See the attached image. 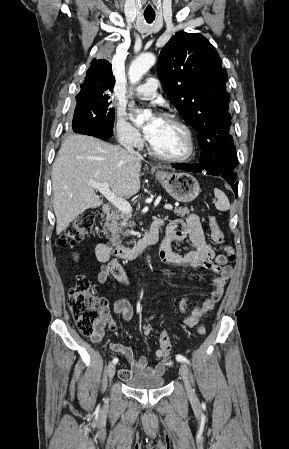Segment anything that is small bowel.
<instances>
[{
    "mask_svg": "<svg viewBox=\"0 0 289 449\" xmlns=\"http://www.w3.org/2000/svg\"><path fill=\"white\" fill-rule=\"evenodd\" d=\"M154 223L160 225L161 220H156ZM186 236H188L190 243L195 249L185 255H181L174 250L173 244ZM95 253L98 261L102 263L97 274V282L99 284H105L110 277H113L123 285H129V280L123 267L102 244L97 245ZM160 258L165 263L175 267L205 268L218 274L212 280L213 288L210 296L201 306L194 308L184 319V325L192 328L221 299L224 288L232 276L233 268L226 264V258L223 255H216L213 248L205 241L199 218L194 214L189 215L185 222L177 220L167 226V235L160 248ZM179 310L181 313L185 312V299L180 301ZM113 313L121 315L125 322H129L133 317V308L125 298L116 300L110 306L107 302H104L100 328L97 334L91 337L92 342L97 343L101 341L106 325L111 331L115 332L118 330L117 324L112 318ZM109 347L112 351L122 354L130 365V368L122 369L119 372L120 378L124 381L132 378L136 373L162 375L170 365L159 348L155 351V357L161 359L160 362L155 366H149L145 356L135 359L133 351L129 346L111 342Z\"/></svg>",
    "mask_w": 289,
    "mask_h": 449,
    "instance_id": "1",
    "label": "small bowel"
}]
</instances>
